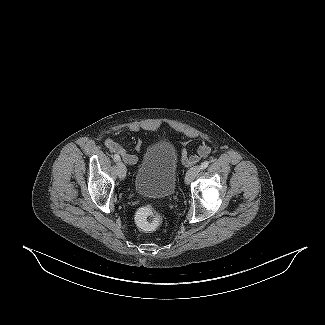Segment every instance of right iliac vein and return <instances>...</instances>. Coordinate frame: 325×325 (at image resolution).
<instances>
[{
  "instance_id": "obj_1",
  "label": "right iliac vein",
  "mask_w": 325,
  "mask_h": 325,
  "mask_svg": "<svg viewBox=\"0 0 325 325\" xmlns=\"http://www.w3.org/2000/svg\"><path fill=\"white\" fill-rule=\"evenodd\" d=\"M117 172L120 179H124L126 177V166L121 161L117 163Z\"/></svg>"
}]
</instances>
